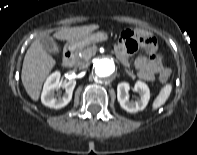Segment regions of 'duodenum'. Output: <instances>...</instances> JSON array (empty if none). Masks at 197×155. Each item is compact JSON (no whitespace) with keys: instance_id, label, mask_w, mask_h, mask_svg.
<instances>
[{"instance_id":"1","label":"duodenum","mask_w":197,"mask_h":155,"mask_svg":"<svg viewBox=\"0 0 197 155\" xmlns=\"http://www.w3.org/2000/svg\"><path fill=\"white\" fill-rule=\"evenodd\" d=\"M76 58V50L74 46L68 47L64 51L62 63L65 67H71Z\"/></svg>"}]
</instances>
